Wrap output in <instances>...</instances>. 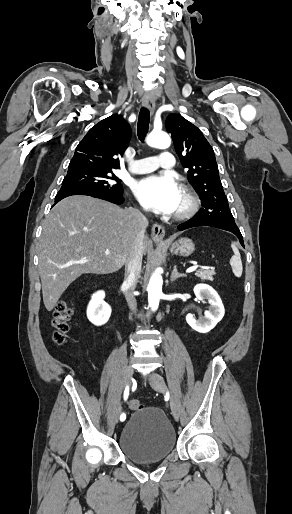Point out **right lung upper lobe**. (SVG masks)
<instances>
[{
	"label": "right lung upper lobe",
	"mask_w": 292,
	"mask_h": 514,
	"mask_svg": "<svg viewBox=\"0 0 292 514\" xmlns=\"http://www.w3.org/2000/svg\"><path fill=\"white\" fill-rule=\"evenodd\" d=\"M130 138L131 128L121 115L100 121L76 147L68 172H113Z\"/></svg>",
	"instance_id": "1"
}]
</instances>
